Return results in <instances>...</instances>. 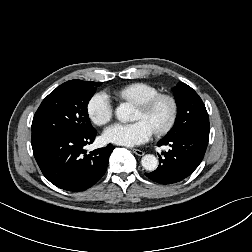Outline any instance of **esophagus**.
Instances as JSON below:
<instances>
[{
  "label": "esophagus",
  "mask_w": 252,
  "mask_h": 252,
  "mask_svg": "<svg viewBox=\"0 0 252 252\" xmlns=\"http://www.w3.org/2000/svg\"><path fill=\"white\" fill-rule=\"evenodd\" d=\"M132 151H133V153H135L137 156H143V155H144V152H143L142 150L133 148Z\"/></svg>",
  "instance_id": "obj_1"
}]
</instances>
